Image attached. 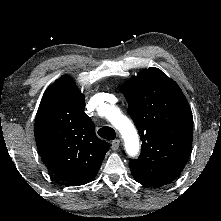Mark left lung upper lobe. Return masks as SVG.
Segmentation results:
<instances>
[{
    "instance_id": "left-lung-upper-lobe-1",
    "label": "left lung upper lobe",
    "mask_w": 221,
    "mask_h": 221,
    "mask_svg": "<svg viewBox=\"0 0 221 221\" xmlns=\"http://www.w3.org/2000/svg\"><path fill=\"white\" fill-rule=\"evenodd\" d=\"M120 90L142 140L140 156L129 162L134 179L152 187L171 183L183 170L192 146V112L184 94L153 67Z\"/></svg>"
}]
</instances>
